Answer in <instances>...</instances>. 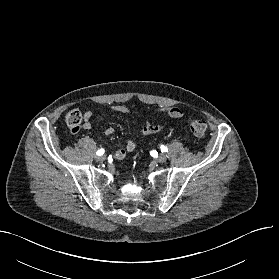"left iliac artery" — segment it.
I'll use <instances>...</instances> for the list:
<instances>
[{"mask_svg": "<svg viewBox=\"0 0 279 279\" xmlns=\"http://www.w3.org/2000/svg\"><path fill=\"white\" fill-rule=\"evenodd\" d=\"M160 149H161L162 152H167L168 151L167 147L164 146V145H161Z\"/></svg>", "mask_w": 279, "mask_h": 279, "instance_id": "obj_1", "label": "left iliac artery"}]
</instances>
